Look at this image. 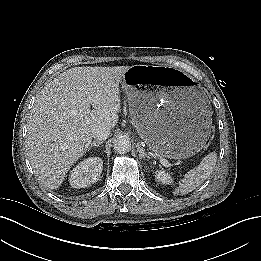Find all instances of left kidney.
<instances>
[{
  "label": "left kidney",
  "mask_w": 261,
  "mask_h": 261,
  "mask_svg": "<svg viewBox=\"0 0 261 261\" xmlns=\"http://www.w3.org/2000/svg\"><path fill=\"white\" fill-rule=\"evenodd\" d=\"M155 179L158 182H161L163 184L173 183L172 177L170 176V174L166 173L165 171H156L155 172Z\"/></svg>",
  "instance_id": "5707ae66"
}]
</instances>
